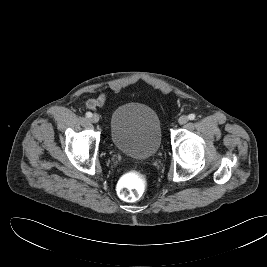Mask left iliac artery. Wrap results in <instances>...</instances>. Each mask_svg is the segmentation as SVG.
Returning <instances> with one entry per match:
<instances>
[{"mask_svg":"<svg viewBox=\"0 0 267 267\" xmlns=\"http://www.w3.org/2000/svg\"><path fill=\"white\" fill-rule=\"evenodd\" d=\"M188 118H189L190 120H194V119H195V114H189Z\"/></svg>","mask_w":267,"mask_h":267,"instance_id":"1","label":"left iliac artery"}]
</instances>
